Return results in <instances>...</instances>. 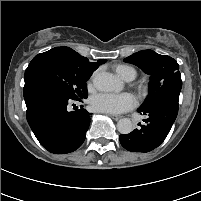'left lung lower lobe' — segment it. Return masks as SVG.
<instances>
[{
    "label": "left lung lower lobe",
    "instance_id": "1",
    "mask_svg": "<svg viewBox=\"0 0 201 201\" xmlns=\"http://www.w3.org/2000/svg\"><path fill=\"white\" fill-rule=\"evenodd\" d=\"M178 100L161 97L152 104L138 109L146 115L144 124L127 135H120L121 145L131 152L146 153L157 148L167 137L178 114Z\"/></svg>",
    "mask_w": 201,
    "mask_h": 201
}]
</instances>
